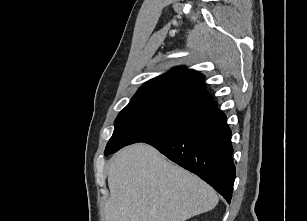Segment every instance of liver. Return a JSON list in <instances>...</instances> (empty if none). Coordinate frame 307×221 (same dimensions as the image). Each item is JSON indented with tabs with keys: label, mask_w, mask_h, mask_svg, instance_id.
Segmentation results:
<instances>
[{
	"label": "liver",
	"mask_w": 307,
	"mask_h": 221,
	"mask_svg": "<svg viewBox=\"0 0 307 221\" xmlns=\"http://www.w3.org/2000/svg\"><path fill=\"white\" fill-rule=\"evenodd\" d=\"M108 186L106 221H186L218 203L208 184L141 143L111 158Z\"/></svg>",
	"instance_id": "6515ba94"
}]
</instances>
